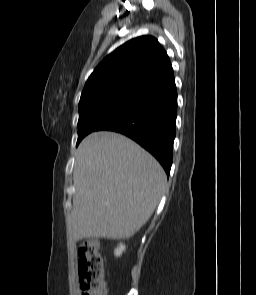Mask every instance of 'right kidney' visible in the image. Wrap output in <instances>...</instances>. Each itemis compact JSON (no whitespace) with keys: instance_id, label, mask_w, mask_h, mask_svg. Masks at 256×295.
<instances>
[{"instance_id":"obj_1","label":"right kidney","mask_w":256,"mask_h":295,"mask_svg":"<svg viewBox=\"0 0 256 295\" xmlns=\"http://www.w3.org/2000/svg\"><path fill=\"white\" fill-rule=\"evenodd\" d=\"M126 247L124 244H120L114 251L116 257H120L122 253L125 251Z\"/></svg>"}]
</instances>
